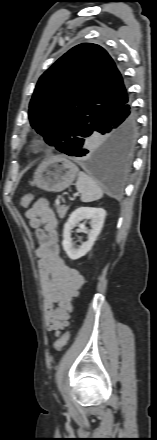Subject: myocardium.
Wrapping results in <instances>:
<instances>
[{
	"label": "myocardium",
	"mask_w": 157,
	"mask_h": 440,
	"mask_svg": "<svg viewBox=\"0 0 157 440\" xmlns=\"http://www.w3.org/2000/svg\"><path fill=\"white\" fill-rule=\"evenodd\" d=\"M29 146L34 152H39L43 149V141L38 138H33L31 139Z\"/></svg>",
	"instance_id": "f54148a6"
}]
</instances>
